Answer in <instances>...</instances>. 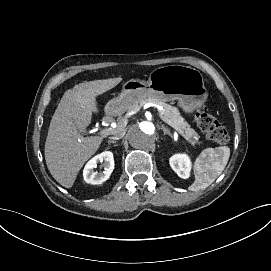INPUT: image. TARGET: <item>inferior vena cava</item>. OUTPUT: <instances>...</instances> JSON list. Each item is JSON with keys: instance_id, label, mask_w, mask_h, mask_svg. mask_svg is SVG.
<instances>
[{"instance_id": "inferior-vena-cava-1", "label": "inferior vena cava", "mask_w": 271, "mask_h": 271, "mask_svg": "<svg viewBox=\"0 0 271 271\" xmlns=\"http://www.w3.org/2000/svg\"><path fill=\"white\" fill-rule=\"evenodd\" d=\"M112 135H113V136L109 137V138L112 139V140H118V139H121V138L125 135V130L122 129V128L115 129V130L112 132Z\"/></svg>"}]
</instances>
